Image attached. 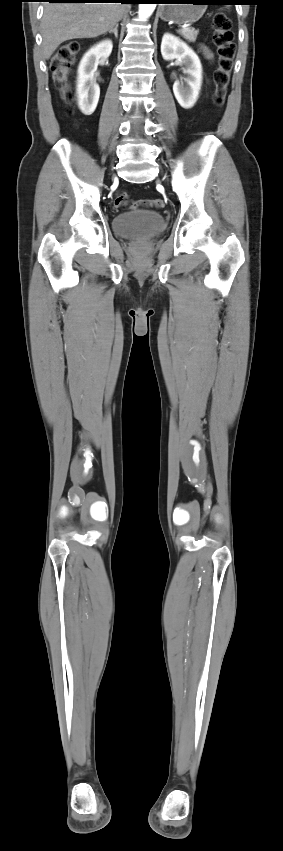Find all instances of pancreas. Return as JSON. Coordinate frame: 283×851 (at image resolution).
<instances>
[{
    "label": "pancreas",
    "mask_w": 283,
    "mask_h": 851,
    "mask_svg": "<svg viewBox=\"0 0 283 851\" xmlns=\"http://www.w3.org/2000/svg\"><path fill=\"white\" fill-rule=\"evenodd\" d=\"M198 33H199V32H198L197 30H195L194 28H187V29H185V30H180V31H179V34H180V35H181L184 39H186L188 42H195V41H196V37H197Z\"/></svg>",
    "instance_id": "1"
}]
</instances>
